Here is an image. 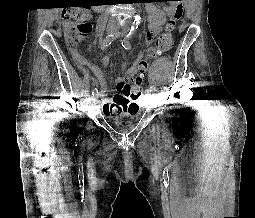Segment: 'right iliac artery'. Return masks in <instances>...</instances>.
I'll list each match as a JSON object with an SVG mask.
<instances>
[{"instance_id":"obj_1","label":"right iliac artery","mask_w":255,"mask_h":218,"mask_svg":"<svg viewBox=\"0 0 255 218\" xmlns=\"http://www.w3.org/2000/svg\"><path fill=\"white\" fill-rule=\"evenodd\" d=\"M113 39H114L113 34H110V35L106 36V38L103 40V43H102L103 48H107L112 43ZM97 92H98L97 88L92 89V94L93 95Z\"/></svg>"}]
</instances>
